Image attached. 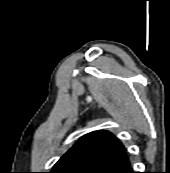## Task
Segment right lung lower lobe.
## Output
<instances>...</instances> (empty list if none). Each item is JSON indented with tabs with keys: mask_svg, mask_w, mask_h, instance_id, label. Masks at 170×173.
I'll return each mask as SVG.
<instances>
[{
	"mask_svg": "<svg viewBox=\"0 0 170 173\" xmlns=\"http://www.w3.org/2000/svg\"><path fill=\"white\" fill-rule=\"evenodd\" d=\"M105 173H135V172H133L131 164L128 160L126 162H123L119 165H116L108 169L107 171H105Z\"/></svg>",
	"mask_w": 170,
	"mask_h": 173,
	"instance_id": "98d812e1",
	"label": "right lung lower lobe"
}]
</instances>
